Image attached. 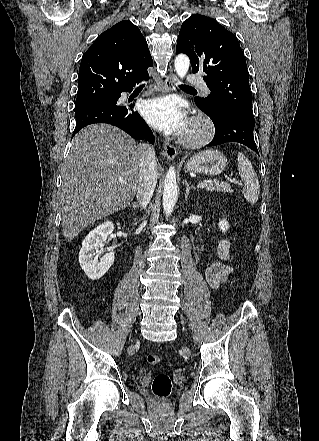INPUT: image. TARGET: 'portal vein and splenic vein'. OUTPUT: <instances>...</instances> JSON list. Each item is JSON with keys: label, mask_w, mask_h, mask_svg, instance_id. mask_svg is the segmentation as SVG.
I'll return each mask as SVG.
<instances>
[{"label": "portal vein and splenic vein", "mask_w": 319, "mask_h": 441, "mask_svg": "<svg viewBox=\"0 0 319 441\" xmlns=\"http://www.w3.org/2000/svg\"><path fill=\"white\" fill-rule=\"evenodd\" d=\"M119 182L123 183V182H124V179H123V178H120V179H119ZM235 183H238V182H235ZM238 184H239V183H238ZM208 185H209V183H207V182L200 183V184L197 185V188H204V187H207Z\"/></svg>", "instance_id": "1"}]
</instances>
